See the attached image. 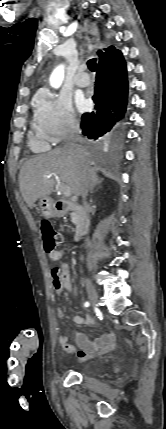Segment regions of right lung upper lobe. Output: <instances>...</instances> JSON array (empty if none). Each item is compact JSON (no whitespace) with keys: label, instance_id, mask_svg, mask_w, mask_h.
<instances>
[{"label":"right lung upper lobe","instance_id":"cb5924a9","mask_svg":"<svg viewBox=\"0 0 166 429\" xmlns=\"http://www.w3.org/2000/svg\"><path fill=\"white\" fill-rule=\"evenodd\" d=\"M116 51L117 49H115L113 46H110L108 49L98 50V59L107 58L108 56L111 57L115 54Z\"/></svg>","mask_w":166,"mask_h":429}]
</instances>
